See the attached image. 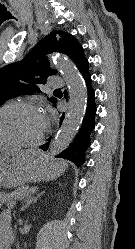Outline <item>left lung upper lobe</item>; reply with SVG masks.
I'll use <instances>...</instances> for the list:
<instances>
[{
    "label": "left lung upper lobe",
    "mask_w": 135,
    "mask_h": 249,
    "mask_svg": "<svg viewBox=\"0 0 135 249\" xmlns=\"http://www.w3.org/2000/svg\"><path fill=\"white\" fill-rule=\"evenodd\" d=\"M56 34L60 35V41H57ZM55 51L69 56L79 71L88 63L83 47L74 36L61 30L52 31L21 61L0 69V106L13 97L39 92V85L44 84L50 75L56 74L46 57ZM48 100L53 104L57 102L55 97Z\"/></svg>",
    "instance_id": "5c2ea615"
}]
</instances>
